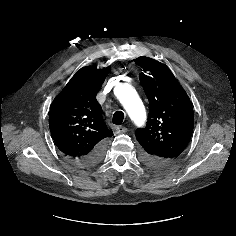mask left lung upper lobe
Here are the masks:
<instances>
[{
  "instance_id": "5c2ea615",
  "label": "left lung upper lobe",
  "mask_w": 236,
  "mask_h": 236,
  "mask_svg": "<svg viewBox=\"0 0 236 236\" xmlns=\"http://www.w3.org/2000/svg\"><path fill=\"white\" fill-rule=\"evenodd\" d=\"M135 63L143 69L139 79L150 104L146 127L136 130L141 158L147 165L163 169L178 159L190 141L192 104L166 65L145 56Z\"/></svg>"
}]
</instances>
